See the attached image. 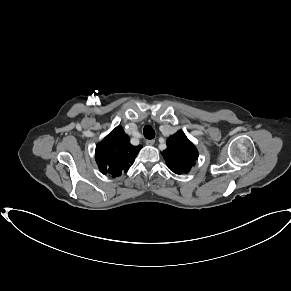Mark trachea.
Wrapping results in <instances>:
<instances>
[{
	"instance_id": "obj_1",
	"label": "trachea",
	"mask_w": 291,
	"mask_h": 291,
	"mask_svg": "<svg viewBox=\"0 0 291 291\" xmlns=\"http://www.w3.org/2000/svg\"><path fill=\"white\" fill-rule=\"evenodd\" d=\"M143 134L147 139H153L155 137V131L150 125L144 127Z\"/></svg>"
}]
</instances>
